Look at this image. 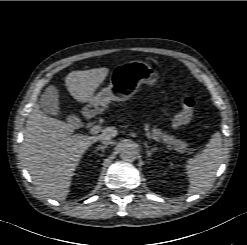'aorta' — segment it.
<instances>
[{"instance_id":"1","label":"aorta","mask_w":247,"mask_h":245,"mask_svg":"<svg viewBox=\"0 0 247 245\" xmlns=\"http://www.w3.org/2000/svg\"><path fill=\"white\" fill-rule=\"evenodd\" d=\"M136 156L137 151L130 143H125L122 145L120 151V157L122 160L132 162L136 159Z\"/></svg>"}]
</instances>
